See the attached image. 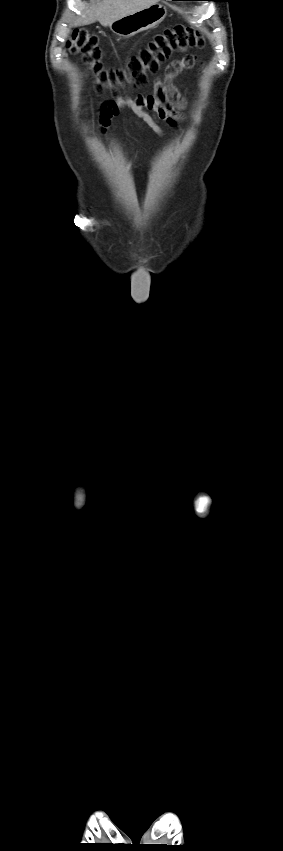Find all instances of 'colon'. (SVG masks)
Segmentation results:
<instances>
[{"label":"colon","mask_w":283,"mask_h":851,"mask_svg":"<svg viewBox=\"0 0 283 851\" xmlns=\"http://www.w3.org/2000/svg\"><path fill=\"white\" fill-rule=\"evenodd\" d=\"M202 34L194 29L177 25L155 35L138 55L131 58L127 68L107 71L104 69L102 52L96 35L85 30H77L71 36L67 49L70 53H80L88 67V75L95 80L97 90L105 87L117 91L119 87L142 85L146 82V72H156L174 50L204 46Z\"/></svg>","instance_id":"obj_1"}]
</instances>
